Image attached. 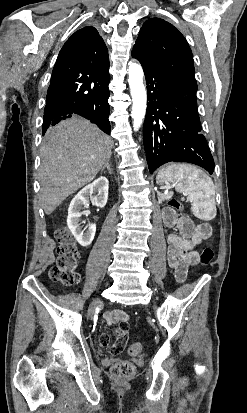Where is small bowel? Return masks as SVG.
<instances>
[{
	"label": "small bowel",
	"instance_id": "small-bowel-1",
	"mask_svg": "<svg viewBox=\"0 0 247 413\" xmlns=\"http://www.w3.org/2000/svg\"><path fill=\"white\" fill-rule=\"evenodd\" d=\"M164 224L167 228H177L178 232H171L167 235V257L168 264L174 272L177 283L185 282L190 268L196 266L199 261L197 247L211 236V227L207 222L194 224L187 217H177L175 211L165 208L163 211ZM191 228L187 232V227ZM126 312L120 310L106 311L105 319L109 325L115 324L114 336L118 338L114 346L110 348V353L119 355L121 349L127 346L130 336V323L126 322ZM99 347L108 349L110 347L109 336L99 334L97 336Z\"/></svg>",
	"mask_w": 247,
	"mask_h": 413
}]
</instances>
